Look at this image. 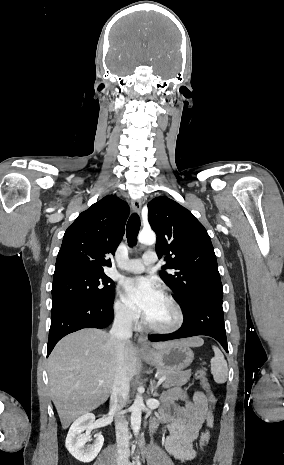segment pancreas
I'll list each match as a JSON object with an SVG mask.
<instances>
[{
    "label": "pancreas",
    "instance_id": "obj_1",
    "mask_svg": "<svg viewBox=\"0 0 284 465\" xmlns=\"http://www.w3.org/2000/svg\"><path fill=\"white\" fill-rule=\"evenodd\" d=\"M159 379L166 377L163 387L170 389V387H182L186 385L191 377V371H159Z\"/></svg>",
    "mask_w": 284,
    "mask_h": 465
}]
</instances>
